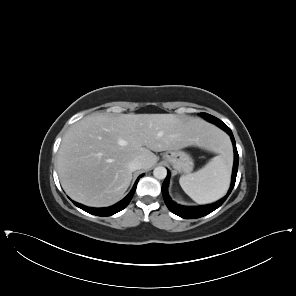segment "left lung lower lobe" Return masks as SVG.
<instances>
[{
	"mask_svg": "<svg viewBox=\"0 0 296 296\" xmlns=\"http://www.w3.org/2000/svg\"><path fill=\"white\" fill-rule=\"evenodd\" d=\"M218 126L220 128H222L223 130H225L230 135L231 140L233 142L234 165H233V172H232L231 187H230L227 195L214 204L204 205V206H199V207H184V206L178 205L175 202H173L168 195V184H169V177H170V172H168L167 177L162 184L163 198H164V201H165L168 209L170 211H172L174 214H176L182 218H186V219L199 218V217H202V216H205V215L211 213L212 211H214L215 209H217L218 207H220L224 203V201L227 199V197L229 196V194L231 193V191L235 185L237 171H238V162H239V156H238V152H237V148H236L235 139L232 134V131L230 130V128L227 125L218 124Z\"/></svg>",
	"mask_w": 296,
	"mask_h": 296,
	"instance_id": "left-lung-lower-lobe-1",
	"label": "left lung lower lobe"
}]
</instances>
